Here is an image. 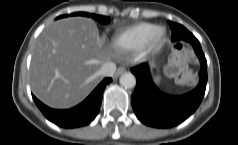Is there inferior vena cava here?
<instances>
[{
	"label": "inferior vena cava",
	"instance_id": "inferior-vena-cava-1",
	"mask_svg": "<svg viewBox=\"0 0 238 145\" xmlns=\"http://www.w3.org/2000/svg\"><path fill=\"white\" fill-rule=\"evenodd\" d=\"M116 71V65L113 62H106L102 65L100 69V74L102 76L111 77Z\"/></svg>",
	"mask_w": 238,
	"mask_h": 145
}]
</instances>
